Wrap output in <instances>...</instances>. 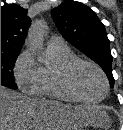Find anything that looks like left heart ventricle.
<instances>
[{
	"label": "left heart ventricle",
	"mask_w": 123,
	"mask_h": 130,
	"mask_svg": "<svg viewBox=\"0 0 123 130\" xmlns=\"http://www.w3.org/2000/svg\"><path fill=\"white\" fill-rule=\"evenodd\" d=\"M73 84L77 92L90 100L99 99L105 90L100 74L88 65H80L73 73Z\"/></svg>",
	"instance_id": "b2bd125f"
}]
</instances>
